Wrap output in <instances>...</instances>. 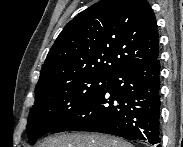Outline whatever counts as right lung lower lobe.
Instances as JSON below:
<instances>
[{
  "label": "right lung lower lobe",
  "mask_w": 183,
  "mask_h": 147,
  "mask_svg": "<svg viewBox=\"0 0 183 147\" xmlns=\"http://www.w3.org/2000/svg\"><path fill=\"white\" fill-rule=\"evenodd\" d=\"M160 61L127 66L52 131H90L160 143Z\"/></svg>",
  "instance_id": "1"
}]
</instances>
